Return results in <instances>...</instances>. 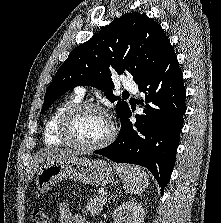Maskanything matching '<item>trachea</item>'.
I'll return each instance as SVG.
<instances>
[{"mask_svg": "<svg viewBox=\"0 0 221 223\" xmlns=\"http://www.w3.org/2000/svg\"><path fill=\"white\" fill-rule=\"evenodd\" d=\"M123 95H129V93L128 92H124Z\"/></svg>", "mask_w": 221, "mask_h": 223, "instance_id": "trachea-1", "label": "trachea"}]
</instances>
